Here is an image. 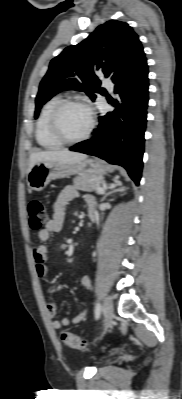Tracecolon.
Wrapping results in <instances>:
<instances>
[{
	"label": "colon",
	"instance_id": "obj_1",
	"mask_svg": "<svg viewBox=\"0 0 182 399\" xmlns=\"http://www.w3.org/2000/svg\"><path fill=\"white\" fill-rule=\"evenodd\" d=\"M29 225L34 231H41L48 222V211L46 206L39 200H32L27 207ZM60 338L62 342L73 349L83 350L87 347V342L79 336L68 331H61Z\"/></svg>",
	"mask_w": 182,
	"mask_h": 399
}]
</instances>
